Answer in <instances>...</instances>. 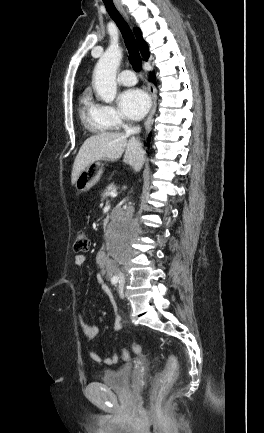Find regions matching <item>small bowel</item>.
<instances>
[{
  "label": "small bowel",
  "mask_w": 264,
  "mask_h": 433,
  "mask_svg": "<svg viewBox=\"0 0 264 433\" xmlns=\"http://www.w3.org/2000/svg\"><path fill=\"white\" fill-rule=\"evenodd\" d=\"M85 262H86V257L84 255H77L74 258V263L78 268H82L84 266ZM96 280H97L98 284L100 285V287L102 288V290L105 291L107 294H110V290H109L108 286L106 285V283L104 282L102 275L98 274L96 276ZM79 323H80L82 330H83L86 337H88L89 339H94L98 336L99 328L97 325L87 323L82 316H79ZM116 326H117V329H120V318L119 317L116 318ZM89 356H90L91 360L96 362V363H100L102 361L101 356L96 352L91 351L89 353ZM117 360H118L117 355L112 354V355L106 357L103 360V362L106 365H113L117 362Z\"/></svg>",
  "instance_id": "small-bowel-1"
}]
</instances>
